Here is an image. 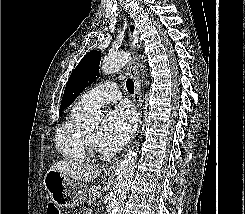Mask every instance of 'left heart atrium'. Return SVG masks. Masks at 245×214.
I'll return each instance as SVG.
<instances>
[{"mask_svg":"<svg viewBox=\"0 0 245 214\" xmlns=\"http://www.w3.org/2000/svg\"><path fill=\"white\" fill-rule=\"evenodd\" d=\"M134 125L135 117L130 108H115L105 117L98 131V146L107 153L117 152L130 139Z\"/></svg>","mask_w":245,"mask_h":214,"instance_id":"1","label":"left heart atrium"}]
</instances>
